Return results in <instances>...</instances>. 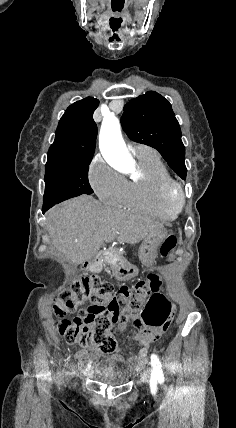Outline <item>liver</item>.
Masks as SVG:
<instances>
[{
	"mask_svg": "<svg viewBox=\"0 0 236 428\" xmlns=\"http://www.w3.org/2000/svg\"><path fill=\"white\" fill-rule=\"evenodd\" d=\"M158 228L165 230L163 224L149 216L117 212L92 196L72 198L46 214V230L52 244L72 264L92 260L104 242L138 244Z\"/></svg>",
	"mask_w": 236,
	"mask_h": 428,
	"instance_id": "liver-1",
	"label": "liver"
}]
</instances>
